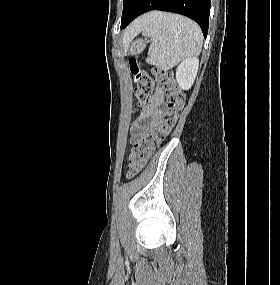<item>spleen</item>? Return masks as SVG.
<instances>
[{
	"mask_svg": "<svg viewBox=\"0 0 280 285\" xmlns=\"http://www.w3.org/2000/svg\"><path fill=\"white\" fill-rule=\"evenodd\" d=\"M151 38L146 62L169 70L202 49L203 35L192 20L171 13L154 12L142 28Z\"/></svg>",
	"mask_w": 280,
	"mask_h": 285,
	"instance_id": "3e777b00",
	"label": "spleen"
}]
</instances>
